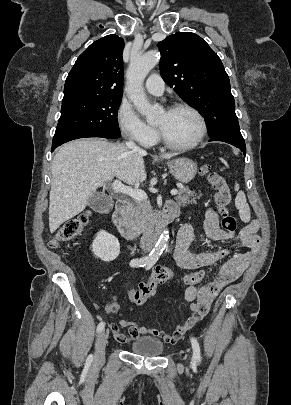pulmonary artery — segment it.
Wrapping results in <instances>:
<instances>
[{
	"mask_svg": "<svg viewBox=\"0 0 291 405\" xmlns=\"http://www.w3.org/2000/svg\"><path fill=\"white\" fill-rule=\"evenodd\" d=\"M164 81L159 74H151L146 82V90L153 95H161L164 91Z\"/></svg>",
	"mask_w": 291,
	"mask_h": 405,
	"instance_id": "1",
	"label": "pulmonary artery"
}]
</instances>
